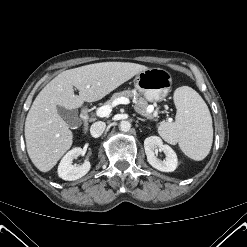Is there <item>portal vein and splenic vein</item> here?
I'll use <instances>...</instances> for the list:
<instances>
[{"mask_svg": "<svg viewBox=\"0 0 247 247\" xmlns=\"http://www.w3.org/2000/svg\"><path fill=\"white\" fill-rule=\"evenodd\" d=\"M129 103H130V100L126 97L117 98L111 106L110 105H104V106L99 107L96 110V115L98 117H101V118L108 117L112 111V107L117 106L119 104H129ZM153 110H154V107L150 106V108L148 109V112L151 113V112H153Z\"/></svg>", "mask_w": 247, "mask_h": 247, "instance_id": "1", "label": "portal vein and splenic vein"}]
</instances>
